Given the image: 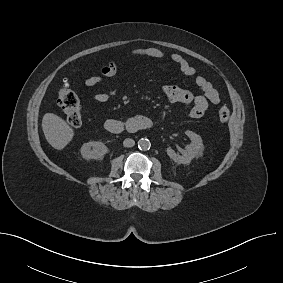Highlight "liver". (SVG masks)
Instances as JSON below:
<instances>
[{"mask_svg": "<svg viewBox=\"0 0 283 283\" xmlns=\"http://www.w3.org/2000/svg\"><path fill=\"white\" fill-rule=\"evenodd\" d=\"M42 129L47 142L57 150L64 149L74 137L73 129L54 113L43 116Z\"/></svg>", "mask_w": 283, "mask_h": 283, "instance_id": "obj_1", "label": "liver"}]
</instances>
